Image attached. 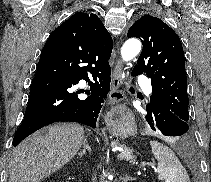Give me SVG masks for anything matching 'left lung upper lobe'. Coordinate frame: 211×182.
<instances>
[{"label":"left lung upper lobe","instance_id":"obj_1","mask_svg":"<svg viewBox=\"0 0 211 182\" xmlns=\"http://www.w3.org/2000/svg\"><path fill=\"white\" fill-rule=\"evenodd\" d=\"M128 38L137 37L143 50L133 73L151 78L152 96L146 110L160 106L188 122V94L185 60L178 35L161 19L144 15L129 29Z\"/></svg>","mask_w":211,"mask_h":182}]
</instances>
